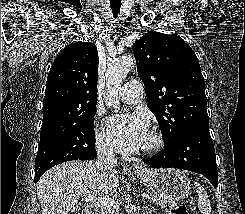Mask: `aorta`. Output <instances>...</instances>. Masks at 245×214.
Here are the masks:
<instances>
[{"instance_id":"1","label":"aorta","mask_w":245,"mask_h":214,"mask_svg":"<svg viewBox=\"0 0 245 214\" xmlns=\"http://www.w3.org/2000/svg\"><path fill=\"white\" fill-rule=\"evenodd\" d=\"M134 64L133 58L124 56L108 65L106 72V105L109 108H118V90Z\"/></svg>"}]
</instances>
